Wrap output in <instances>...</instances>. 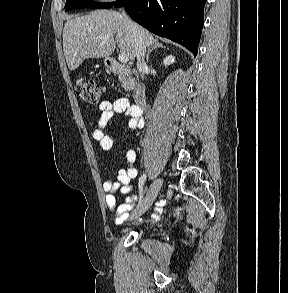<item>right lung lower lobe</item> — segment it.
Instances as JSON below:
<instances>
[{
  "label": "right lung lower lobe",
  "instance_id": "right-lung-lower-lobe-1",
  "mask_svg": "<svg viewBox=\"0 0 288 293\" xmlns=\"http://www.w3.org/2000/svg\"><path fill=\"white\" fill-rule=\"evenodd\" d=\"M207 0H120L114 7H124L130 17L161 37L198 52Z\"/></svg>",
  "mask_w": 288,
  "mask_h": 293
}]
</instances>
